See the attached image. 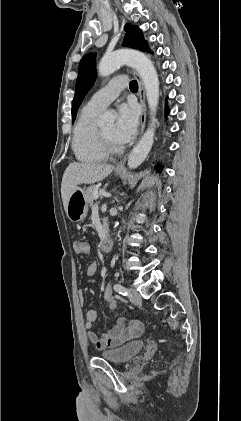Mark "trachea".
<instances>
[{
  "label": "trachea",
  "mask_w": 241,
  "mask_h": 421,
  "mask_svg": "<svg viewBox=\"0 0 241 421\" xmlns=\"http://www.w3.org/2000/svg\"><path fill=\"white\" fill-rule=\"evenodd\" d=\"M129 88L130 90L134 91V90H138V83L136 80H132L129 84Z\"/></svg>",
  "instance_id": "trachea-1"
}]
</instances>
